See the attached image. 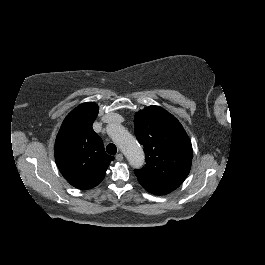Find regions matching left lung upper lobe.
I'll return each instance as SVG.
<instances>
[{
    "instance_id": "5c2ea615",
    "label": "left lung upper lobe",
    "mask_w": 265,
    "mask_h": 265,
    "mask_svg": "<svg viewBox=\"0 0 265 265\" xmlns=\"http://www.w3.org/2000/svg\"><path fill=\"white\" fill-rule=\"evenodd\" d=\"M134 125L146 155V165L135 170L139 183L169 192L175 190L189 174L192 162V145L184 128L159 106L137 112Z\"/></svg>"
}]
</instances>
